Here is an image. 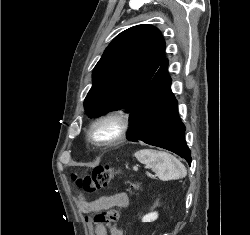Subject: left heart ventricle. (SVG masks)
Instances as JSON below:
<instances>
[{"label":"left heart ventricle","instance_id":"b2bd125f","mask_svg":"<svg viewBox=\"0 0 250 235\" xmlns=\"http://www.w3.org/2000/svg\"><path fill=\"white\" fill-rule=\"evenodd\" d=\"M113 133V129L111 126H103L100 128V130L97 132L98 136L100 137H109Z\"/></svg>","mask_w":250,"mask_h":235}]
</instances>
